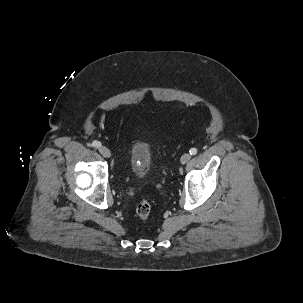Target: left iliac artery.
<instances>
[{"label": "left iliac artery", "mask_w": 303, "mask_h": 303, "mask_svg": "<svg viewBox=\"0 0 303 303\" xmlns=\"http://www.w3.org/2000/svg\"><path fill=\"white\" fill-rule=\"evenodd\" d=\"M189 153H190L191 155H196V154H197V149H196V148H191V149L189 150Z\"/></svg>", "instance_id": "obj_1"}]
</instances>
